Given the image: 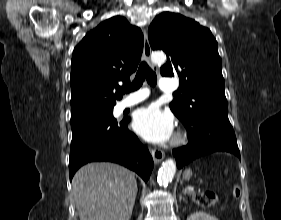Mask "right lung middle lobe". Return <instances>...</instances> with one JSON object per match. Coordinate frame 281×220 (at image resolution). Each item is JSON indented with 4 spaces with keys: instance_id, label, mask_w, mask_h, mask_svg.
<instances>
[{
    "instance_id": "right-lung-middle-lobe-1",
    "label": "right lung middle lobe",
    "mask_w": 281,
    "mask_h": 220,
    "mask_svg": "<svg viewBox=\"0 0 281 220\" xmlns=\"http://www.w3.org/2000/svg\"><path fill=\"white\" fill-rule=\"evenodd\" d=\"M100 118H107V119H111L113 121H116L113 118V109H109V110H106V111H103V112H100V113L71 119V128H74V127H76L78 125H81V124H84V123L97 121Z\"/></svg>"
}]
</instances>
